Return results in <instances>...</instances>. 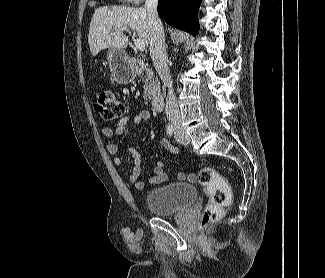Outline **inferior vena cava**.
Wrapping results in <instances>:
<instances>
[{
    "mask_svg": "<svg viewBox=\"0 0 325 278\" xmlns=\"http://www.w3.org/2000/svg\"><path fill=\"white\" fill-rule=\"evenodd\" d=\"M158 0H146L145 10L150 26V55L164 85L168 87L165 113L167 119L175 124L180 123L181 116L173 90V81L168 67V56L165 49V35L163 25L157 13Z\"/></svg>",
    "mask_w": 325,
    "mask_h": 278,
    "instance_id": "obj_1",
    "label": "inferior vena cava"
}]
</instances>
